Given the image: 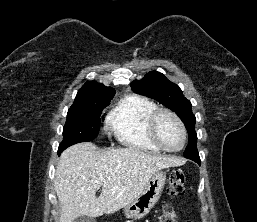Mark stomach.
I'll return each mask as SVG.
<instances>
[{"mask_svg":"<svg viewBox=\"0 0 257 222\" xmlns=\"http://www.w3.org/2000/svg\"><path fill=\"white\" fill-rule=\"evenodd\" d=\"M165 180V172L158 171L152 175L144 190L123 208V214L131 219H140L146 216L159 200Z\"/></svg>","mask_w":257,"mask_h":222,"instance_id":"obj_1","label":"stomach"}]
</instances>
